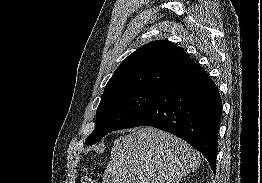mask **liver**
I'll use <instances>...</instances> for the list:
<instances>
[{
  "mask_svg": "<svg viewBox=\"0 0 262 183\" xmlns=\"http://www.w3.org/2000/svg\"><path fill=\"white\" fill-rule=\"evenodd\" d=\"M200 162L199 152L168 132L133 129L115 140L103 183H179Z\"/></svg>",
  "mask_w": 262,
  "mask_h": 183,
  "instance_id": "1",
  "label": "liver"
}]
</instances>
